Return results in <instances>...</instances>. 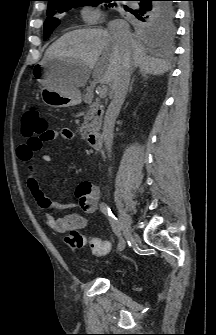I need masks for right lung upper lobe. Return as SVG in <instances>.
<instances>
[{
    "mask_svg": "<svg viewBox=\"0 0 216 335\" xmlns=\"http://www.w3.org/2000/svg\"><path fill=\"white\" fill-rule=\"evenodd\" d=\"M49 2V4L54 3V2H59V1H64V0H46Z\"/></svg>",
    "mask_w": 216,
    "mask_h": 335,
    "instance_id": "1",
    "label": "right lung upper lobe"
}]
</instances>
